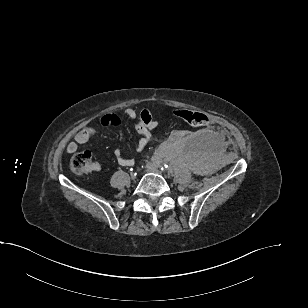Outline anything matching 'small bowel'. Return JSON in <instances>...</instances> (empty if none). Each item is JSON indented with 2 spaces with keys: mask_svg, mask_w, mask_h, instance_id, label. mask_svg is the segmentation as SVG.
<instances>
[{
  "mask_svg": "<svg viewBox=\"0 0 308 308\" xmlns=\"http://www.w3.org/2000/svg\"><path fill=\"white\" fill-rule=\"evenodd\" d=\"M122 115L134 123L135 129L140 135L136 149L138 152H142L151 141L152 131L158 127V122L154 120L152 113L147 109L136 111L132 108H126L123 110ZM122 122V118L115 114L103 115L98 125L85 127L75 135L74 140L67 146L68 153L75 152L79 145L89 142L92 137L101 132L102 128L119 126ZM114 154L121 166L134 165V160L124 157L119 149H115Z\"/></svg>",
  "mask_w": 308,
  "mask_h": 308,
  "instance_id": "obj_1",
  "label": "small bowel"
}]
</instances>
